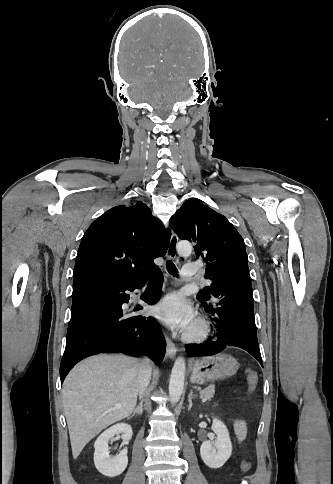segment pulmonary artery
<instances>
[{
	"label": "pulmonary artery",
	"instance_id": "1",
	"mask_svg": "<svg viewBox=\"0 0 333 484\" xmlns=\"http://www.w3.org/2000/svg\"><path fill=\"white\" fill-rule=\"evenodd\" d=\"M197 273H198V267L194 263H187L182 268V275L184 277H192L197 275Z\"/></svg>",
	"mask_w": 333,
	"mask_h": 484
}]
</instances>
